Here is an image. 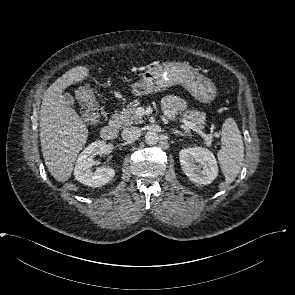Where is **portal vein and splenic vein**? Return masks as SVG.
<instances>
[{
  "label": "portal vein and splenic vein",
  "instance_id": "18ae733b",
  "mask_svg": "<svg viewBox=\"0 0 295 295\" xmlns=\"http://www.w3.org/2000/svg\"><path fill=\"white\" fill-rule=\"evenodd\" d=\"M141 110V108L139 109ZM180 122L183 123V125L188 128L192 129L193 131L197 132L201 137H203L205 140L210 141L213 138L212 134H205L199 127H197L195 124L185 120V119H179Z\"/></svg>",
  "mask_w": 295,
  "mask_h": 295
}]
</instances>
